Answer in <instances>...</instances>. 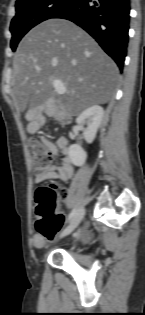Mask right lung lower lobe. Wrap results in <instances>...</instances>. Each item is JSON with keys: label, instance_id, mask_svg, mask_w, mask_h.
<instances>
[{"label": "right lung lower lobe", "instance_id": "98d812e1", "mask_svg": "<svg viewBox=\"0 0 145 315\" xmlns=\"http://www.w3.org/2000/svg\"><path fill=\"white\" fill-rule=\"evenodd\" d=\"M130 0H74L53 18L73 21L86 30L123 69L130 21Z\"/></svg>", "mask_w": 145, "mask_h": 315}]
</instances>
